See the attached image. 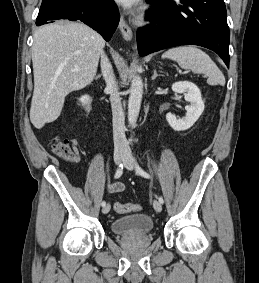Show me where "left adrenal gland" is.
Here are the masks:
<instances>
[{"instance_id":"obj_1","label":"left adrenal gland","mask_w":259,"mask_h":283,"mask_svg":"<svg viewBox=\"0 0 259 283\" xmlns=\"http://www.w3.org/2000/svg\"><path fill=\"white\" fill-rule=\"evenodd\" d=\"M157 76H158L157 70H154L151 79L154 80Z\"/></svg>"}]
</instances>
